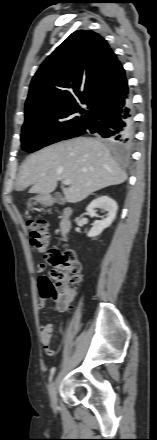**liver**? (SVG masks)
Returning a JSON list of instances; mask_svg holds the SVG:
<instances>
[{
	"instance_id": "liver-1",
	"label": "liver",
	"mask_w": 157,
	"mask_h": 440,
	"mask_svg": "<svg viewBox=\"0 0 157 440\" xmlns=\"http://www.w3.org/2000/svg\"><path fill=\"white\" fill-rule=\"evenodd\" d=\"M70 180L63 189L65 200L77 203L91 193L127 179L125 171L98 139L78 137L47 146L26 158L17 181V190L48 195L57 182Z\"/></svg>"
}]
</instances>
